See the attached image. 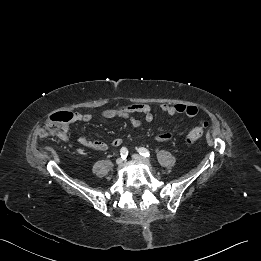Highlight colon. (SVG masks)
I'll return each mask as SVG.
<instances>
[{
  "label": "colon",
  "mask_w": 261,
  "mask_h": 261,
  "mask_svg": "<svg viewBox=\"0 0 261 261\" xmlns=\"http://www.w3.org/2000/svg\"><path fill=\"white\" fill-rule=\"evenodd\" d=\"M74 115L71 112L59 111L51 114L42 131V137H48L53 135H59L62 130L73 121ZM208 122L206 120H200L198 126L193 128L185 137V142L188 144L197 141L203 134L204 130L207 128Z\"/></svg>",
  "instance_id": "5ec220e1"
}]
</instances>
